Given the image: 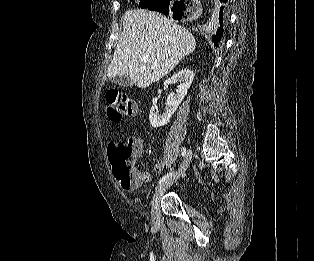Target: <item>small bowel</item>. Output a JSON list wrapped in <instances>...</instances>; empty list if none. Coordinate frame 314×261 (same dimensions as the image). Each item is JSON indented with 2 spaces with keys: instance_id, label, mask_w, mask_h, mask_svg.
Here are the masks:
<instances>
[{
  "instance_id": "small-bowel-1",
  "label": "small bowel",
  "mask_w": 314,
  "mask_h": 261,
  "mask_svg": "<svg viewBox=\"0 0 314 261\" xmlns=\"http://www.w3.org/2000/svg\"><path fill=\"white\" fill-rule=\"evenodd\" d=\"M136 142L138 144L139 150L136 153L135 158L138 159L142 156L144 148L142 142L139 139H136ZM136 171L142 175V182H148L152 179V175L150 173L143 172L139 169H136ZM154 171L156 173H162L164 171V161L159 160L158 162H156V164L154 165Z\"/></svg>"
}]
</instances>
